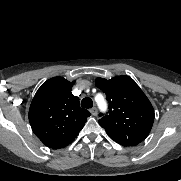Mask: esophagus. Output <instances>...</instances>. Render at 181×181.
Masks as SVG:
<instances>
[{
	"label": "esophagus",
	"mask_w": 181,
	"mask_h": 181,
	"mask_svg": "<svg viewBox=\"0 0 181 181\" xmlns=\"http://www.w3.org/2000/svg\"><path fill=\"white\" fill-rule=\"evenodd\" d=\"M90 113H91V115L96 116V115H97V109H96V107L91 108V109H90Z\"/></svg>",
	"instance_id": "esophagus-1"
}]
</instances>
